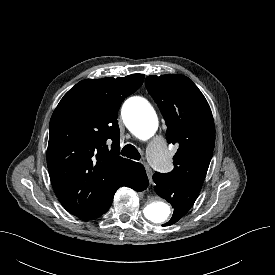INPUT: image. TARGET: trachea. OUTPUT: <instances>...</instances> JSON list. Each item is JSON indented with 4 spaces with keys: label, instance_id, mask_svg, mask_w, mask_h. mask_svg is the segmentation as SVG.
Segmentation results:
<instances>
[{
    "label": "trachea",
    "instance_id": "trachea-1",
    "mask_svg": "<svg viewBox=\"0 0 275 275\" xmlns=\"http://www.w3.org/2000/svg\"><path fill=\"white\" fill-rule=\"evenodd\" d=\"M121 155L134 160H140L141 156L138 150L131 144H127L123 147Z\"/></svg>",
    "mask_w": 275,
    "mask_h": 275
}]
</instances>
